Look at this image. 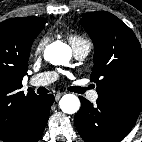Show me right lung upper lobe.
Instances as JSON below:
<instances>
[{"label": "right lung upper lobe", "mask_w": 142, "mask_h": 142, "mask_svg": "<svg viewBox=\"0 0 142 142\" xmlns=\"http://www.w3.org/2000/svg\"><path fill=\"white\" fill-rule=\"evenodd\" d=\"M40 17H20L0 23V139L13 137L39 96L24 94L22 79L27 74L31 45L44 28Z\"/></svg>", "instance_id": "cb5924a9"}]
</instances>
